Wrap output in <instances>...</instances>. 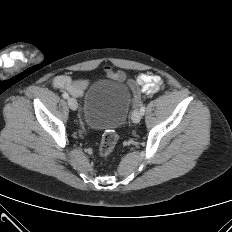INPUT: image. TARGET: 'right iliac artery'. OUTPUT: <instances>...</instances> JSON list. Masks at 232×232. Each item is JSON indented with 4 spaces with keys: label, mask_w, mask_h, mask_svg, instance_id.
<instances>
[{
    "label": "right iliac artery",
    "mask_w": 232,
    "mask_h": 232,
    "mask_svg": "<svg viewBox=\"0 0 232 232\" xmlns=\"http://www.w3.org/2000/svg\"><path fill=\"white\" fill-rule=\"evenodd\" d=\"M62 96H63V98H65V99H68V98H69V95H68L66 92H64V93L62 94Z\"/></svg>",
    "instance_id": "obj_1"
}]
</instances>
